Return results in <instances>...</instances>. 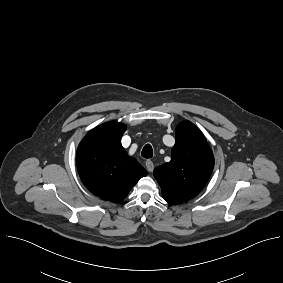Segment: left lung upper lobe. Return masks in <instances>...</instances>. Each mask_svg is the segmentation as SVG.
Here are the masks:
<instances>
[{
	"label": "left lung upper lobe",
	"mask_w": 283,
	"mask_h": 283,
	"mask_svg": "<svg viewBox=\"0 0 283 283\" xmlns=\"http://www.w3.org/2000/svg\"><path fill=\"white\" fill-rule=\"evenodd\" d=\"M171 153V161L156 167L154 177L164 200L178 204L203 189L212 173L214 156L202 132L190 121L177 126Z\"/></svg>",
	"instance_id": "1"
}]
</instances>
